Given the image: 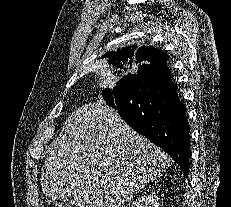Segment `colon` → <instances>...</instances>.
Returning a JSON list of instances; mask_svg holds the SVG:
<instances>
[{"mask_svg":"<svg viewBox=\"0 0 231 207\" xmlns=\"http://www.w3.org/2000/svg\"><path fill=\"white\" fill-rule=\"evenodd\" d=\"M42 207H67V206L64 205L63 203L46 200L42 203Z\"/></svg>","mask_w":231,"mask_h":207,"instance_id":"1","label":"colon"}]
</instances>
